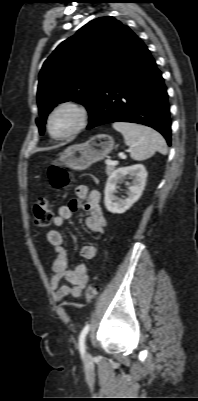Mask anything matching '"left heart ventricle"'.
Masks as SVG:
<instances>
[{"mask_svg": "<svg viewBox=\"0 0 198 401\" xmlns=\"http://www.w3.org/2000/svg\"><path fill=\"white\" fill-rule=\"evenodd\" d=\"M76 124V117L71 111L57 113L51 122V130L54 135H62L70 131Z\"/></svg>", "mask_w": 198, "mask_h": 401, "instance_id": "left-heart-ventricle-1", "label": "left heart ventricle"}]
</instances>
